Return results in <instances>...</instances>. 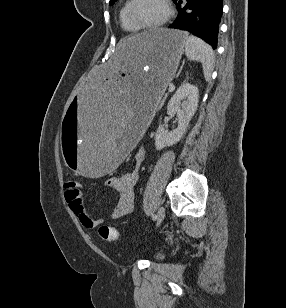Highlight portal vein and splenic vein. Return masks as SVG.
Instances as JSON below:
<instances>
[{"mask_svg": "<svg viewBox=\"0 0 286 308\" xmlns=\"http://www.w3.org/2000/svg\"><path fill=\"white\" fill-rule=\"evenodd\" d=\"M175 87L173 86V85H171L170 87H169V90H173Z\"/></svg>", "mask_w": 286, "mask_h": 308, "instance_id": "1", "label": "portal vein and splenic vein"}]
</instances>
